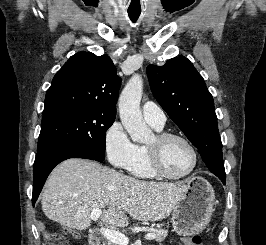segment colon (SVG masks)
<instances>
[{
	"mask_svg": "<svg viewBox=\"0 0 266 245\" xmlns=\"http://www.w3.org/2000/svg\"><path fill=\"white\" fill-rule=\"evenodd\" d=\"M46 240L48 245H69L68 241L61 234L56 232L46 231ZM193 245H202V238L199 235H194L192 238Z\"/></svg>",
	"mask_w": 266,
	"mask_h": 245,
	"instance_id": "obj_1",
	"label": "colon"
}]
</instances>
